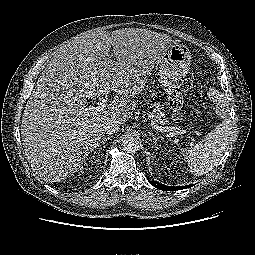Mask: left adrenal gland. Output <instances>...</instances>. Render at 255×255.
I'll return each instance as SVG.
<instances>
[{
    "label": "left adrenal gland",
    "instance_id": "1",
    "mask_svg": "<svg viewBox=\"0 0 255 255\" xmlns=\"http://www.w3.org/2000/svg\"><path fill=\"white\" fill-rule=\"evenodd\" d=\"M151 136H152V138H153V140H154V142L156 143L157 142V140H159V139H163L162 137H160V136H158V137H155V135H154V133L153 132H148Z\"/></svg>",
    "mask_w": 255,
    "mask_h": 255
}]
</instances>
